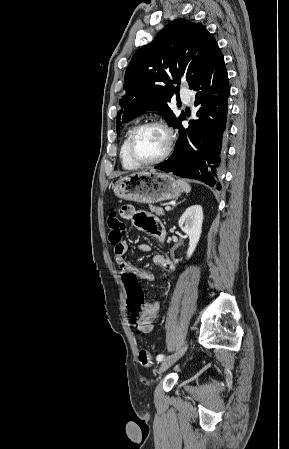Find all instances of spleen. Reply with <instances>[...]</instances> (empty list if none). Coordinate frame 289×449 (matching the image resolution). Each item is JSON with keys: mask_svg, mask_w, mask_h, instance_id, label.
I'll return each instance as SVG.
<instances>
[{"mask_svg": "<svg viewBox=\"0 0 289 449\" xmlns=\"http://www.w3.org/2000/svg\"><path fill=\"white\" fill-rule=\"evenodd\" d=\"M177 182L186 193H189L191 191V186L187 182H185L181 179L177 180Z\"/></svg>", "mask_w": 289, "mask_h": 449, "instance_id": "obj_1", "label": "spleen"}]
</instances>
